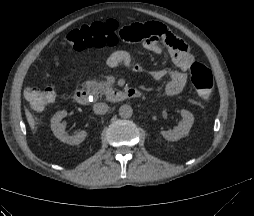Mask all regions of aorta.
I'll use <instances>...</instances> for the list:
<instances>
[{"mask_svg":"<svg viewBox=\"0 0 254 216\" xmlns=\"http://www.w3.org/2000/svg\"><path fill=\"white\" fill-rule=\"evenodd\" d=\"M133 114V109L130 105L124 104L119 108V115L121 118H130Z\"/></svg>","mask_w":254,"mask_h":216,"instance_id":"1","label":"aorta"}]
</instances>
